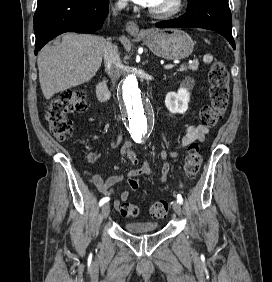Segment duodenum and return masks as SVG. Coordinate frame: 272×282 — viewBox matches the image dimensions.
I'll use <instances>...</instances> for the list:
<instances>
[{
    "instance_id": "obj_1",
    "label": "duodenum",
    "mask_w": 272,
    "mask_h": 282,
    "mask_svg": "<svg viewBox=\"0 0 272 282\" xmlns=\"http://www.w3.org/2000/svg\"><path fill=\"white\" fill-rule=\"evenodd\" d=\"M96 96L98 101L107 102L110 99V92L108 90L105 80H101L96 87Z\"/></svg>"
}]
</instances>
